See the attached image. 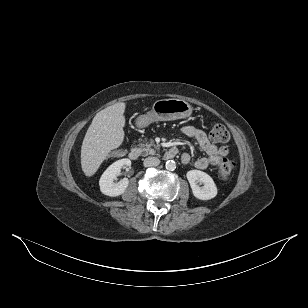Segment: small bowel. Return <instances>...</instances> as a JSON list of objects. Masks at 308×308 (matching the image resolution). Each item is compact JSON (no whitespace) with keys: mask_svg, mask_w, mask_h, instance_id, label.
<instances>
[{"mask_svg":"<svg viewBox=\"0 0 308 308\" xmlns=\"http://www.w3.org/2000/svg\"><path fill=\"white\" fill-rule=\"evenodd\" d=\"M182 133L194 139L199 147L206 153V156L199 157L195 160L194 165L197 169L204 170L209 166H215L228 155V149L226 147H219L208 139L206 133L192 125H185L182 127ZM181 161L184 164H188L191 161V155L184 153L181 157Z\"/></svg>","mask_w":308,"mask_h":308,"instance_id":"small-bowel-1","label":"small bowel"}]
</instances>
